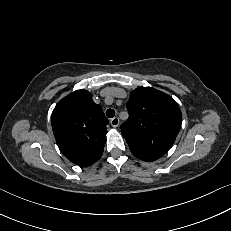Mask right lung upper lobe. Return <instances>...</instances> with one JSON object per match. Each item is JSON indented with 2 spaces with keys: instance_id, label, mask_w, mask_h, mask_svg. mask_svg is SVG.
Masks as SVG:
<instances>
[{
  "instance_id": "cb5924a9",
  "label": "right lung upper lobe",
  "mask_w": 231,
  "mask_h": 231,
  "mask_svg": "<svg viewBox=\"0 0 231 231\" xmlns=\"http://www.w3.org/2000/svg\"><path fill=\"white\" fill-rule=\"evenodd\" d=\"M51 122L57 144L71 162L86 167L101 158L109 122L91 93L77 90L64 97Z\"/></svg>"
}]
</instances>
